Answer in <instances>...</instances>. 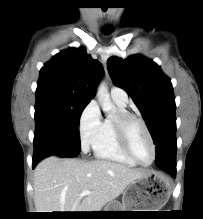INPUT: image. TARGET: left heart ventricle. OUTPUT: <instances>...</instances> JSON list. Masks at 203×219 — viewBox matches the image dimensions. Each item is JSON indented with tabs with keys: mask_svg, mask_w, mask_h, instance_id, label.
<instances>
[{
	"mask_svg": "<svg viewBox=\"0 0 203 219\" xmlns=\"http://www.w3.org/2000/svg\"><path fill=\"white\" fill-rule=\"evenodd\" d=\"M130 144L134 155L139 161L149 163L152 160L151 144L139 123H134L130 129Z\"/></svg>",
	"mask_w": 203,
	"mask_h": 219,
	"instance_id": "1",
	"label": "left heart ventricle"
}]
</instances>
